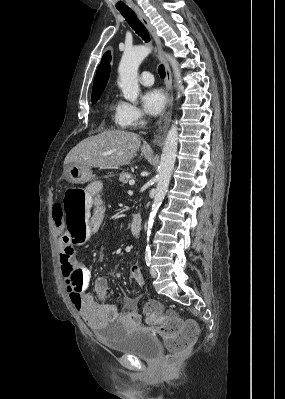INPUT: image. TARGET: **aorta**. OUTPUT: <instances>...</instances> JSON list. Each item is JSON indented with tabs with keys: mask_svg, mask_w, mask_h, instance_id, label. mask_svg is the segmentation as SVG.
Instances as JSON below:
<instances>
[{
	"mask_svg": "<svg viewBox=\"0 0 285 399\" xmlns=\"http://www.w3.org/2000/svg\"><path fill=\"white\" fill-rule=\"evenodd\" d=\"M152 47L140 45L130 49H126L121 58L118 73V86L123 92V96L131 103H136L140 92L138 85V68L142 61L151 53ZM174 70L177 85L181 83V75L178 68V63L170 55H165ZM178 146V128L177 121H174L170 130L167 133L161 160L159 165V173L157 178V186L151 212L147 225V241L151 235V229L154 223L156 213L164 200L167 193L171 174L175 165L176 154Z\"/></svg>",
	"mask_w": 285,
	"mask_h": 399,
	"instance_id": "1",
	"label": "aorta"
}]
</instances>
